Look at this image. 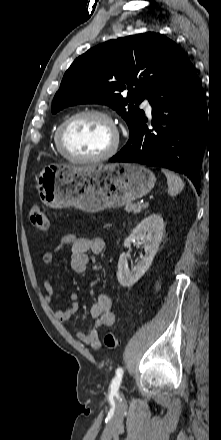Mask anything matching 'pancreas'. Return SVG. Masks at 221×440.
Masks as SVG:
<instances>
[{
  "instance_id": "pancreas-1",
  "label": "pancreas",
  "mask_w": 221,
  "mask_h": 440,
  "mask_svg": "<svg viewBox=\"0 0 221 440\" xmlns=\"http://www.w3.org/2000/svg\"><path fill=\"white\" fill-rule=\"evenodd\" d=\"M147 207H145L143 204H139V203H128L125 207V210L130 213V212H134V213H139L142 210L146 209Z\"/></svg>"
}]
</instances>
